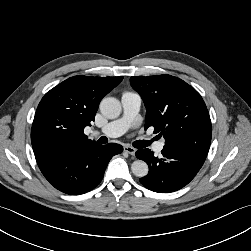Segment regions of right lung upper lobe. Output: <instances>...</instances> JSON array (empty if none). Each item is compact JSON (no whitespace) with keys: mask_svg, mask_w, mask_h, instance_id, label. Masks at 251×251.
<instances>
[{"mask_svg":"<svg viewBox=\"0 0 251 251\" xmlns=\"http://www.w3.org/2000/svg\"><path fill=\"white\" fill-rule=\"evenodd\" d=\"M123 77L74 76L48 91L40 101L31 130L35 155L93 144L84 128L95 119L102 98Z\"/></svg>","mask_w":251,"mask_h":251,"instance_id":"cb5924a9","label":"right lung upper lobe"}]
</instances>
